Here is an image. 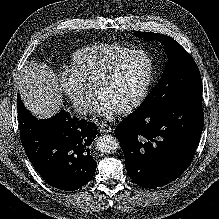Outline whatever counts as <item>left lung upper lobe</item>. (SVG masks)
<instances>
[{"mask_svg":"<svg viewBox=\"0 0 219 219\" xmlns=\"http://www.w3.org/2000/svg\"><path fill=\"white\" fill-rule=\"evenodd\" d=\"M135 35L145 40L161 42L169 61L158 84L134 112H156L180 100L202 95L199 69L193 58L178 42L159 33L136 31Z\"/></svg>","mask_w":219,"mask_h":219,"instance_id":"obj_1","label":"left lung upper lobe"}]
</instances>
